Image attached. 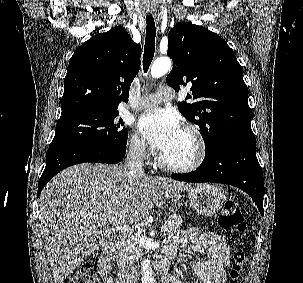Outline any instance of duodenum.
I'll return each instance as SVG.
<instances>
[{
  "instance_id": "duodenum-1",
  "label": "duodenum",
  "mask_w": 303,
  "mask_h": 283,
  "mask_svg": "<svg viewBox=\"0 0 303 283\" xmlns=\"http://www.w3.org/2000/svg\"><path fill=\"white\" fill-rule=\"evenodd\" d=\"M107 255L110 257H113L115 255V249L112 247H108L106 249ZM153 268L158 272L160 275L163 276V283H172V281L169 280H164L165 277L169 276V265L168 261L165 259L162 261H158L155 264H153ZM122 283H138L132 276L131 274H126L122 278Z\"/></svg>"
}]
</instances>
